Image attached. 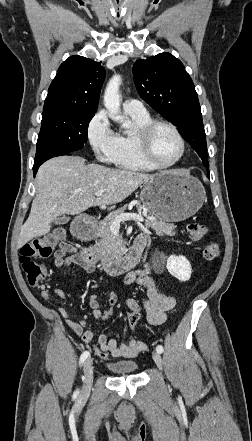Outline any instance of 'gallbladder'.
I'll return each instance as SVG.
<instances>
[{"mask_svg":"<svg viewBox=\"0 0 252 441\" xmlns=\"http://www.w3.org/2000/svg\"><path fill=\"white\" fill-rule=\"evenodd\" d=\"M69 220H70V217L60 216V217L56 218L53 223L56 224V225H58V224H65Z\"/></svg>","mask_w":252,"mask_h":441,"instance_id":"bac80fb5","label":"gallbladder"}]
</instances>
